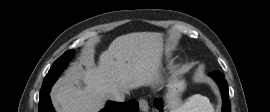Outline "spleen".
<instances>
[{"label":"spleen","mask_w":270,"mask_h":112,"mask_svg":"<svg viewBox=\"0 0 270 112\" xmlns=\"http://www.w3.org/2000/svg\"><path fill=\"white\" fill-rule=\"evenodd\" d=\"M170 112H214V108L207 97L196 94L189 97L184 103H180Z\"/></svg>","instance_id":"1"}]
</instances>
